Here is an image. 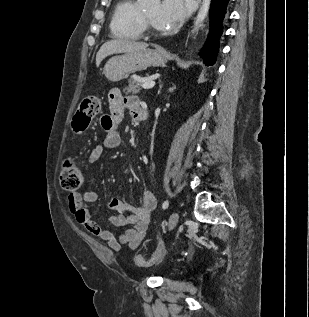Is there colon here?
<instances>
[{
	"instance_id": "1",
	"label": "colon",
	"mask_w": 309,
	"mask_h": 317,
	"mask_svg": "<svg viewBox=\"0 0 309 317\" xmlns=\"http://www.w3.org/2000/svg\"><path fill=\"white\" fill-rule=\"evenodd\" d=\"M100 110L101 102L98 97L88 96L83 99L73 117V129L78 133L86 131ZM59 179L61 187L65 191L76 192L82 186L84 180L80 163L74 158L66 159L62 165ZM136 262L141 266L149 263L141 256L136 257Z\"/></svg>"
}]
</instances>
